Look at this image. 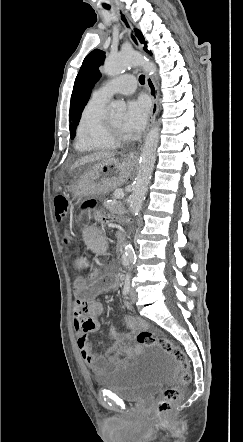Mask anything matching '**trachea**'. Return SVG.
I'll use <instances>...</instances> for the list:
<instances>
[{"label": "trachea", "mask_w": 243, "mask_h": 442, "mask_svg": "<svg viewBox=\"0 0 243 442\" xmlns=\"http://www.w3.org/2000/svg\"><path fill=\"white\" fill-rule=\"evenodd\" d=\"M104 8L105 9H110V7L109 6H104ZM139 82H140V84H145V77H144V75H140L139 76Z\"/></svg>", "instance_id": "obj_1"}]
</instances>
